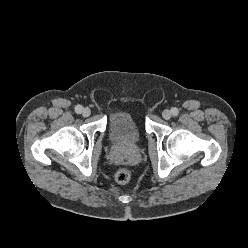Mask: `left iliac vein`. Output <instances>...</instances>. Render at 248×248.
<instances>
[{
    "label": "left iliac vein",
    "mask_w": 248,
    "mask_h": 248,
    "mask_svg": "<svg viewBox=\"0 0 248 248\" xmlns=\"http://www.w3.org/2000/svg\"><path fill=\"white\" fill-rule=\"evenodd\" d=\"M172 116V113L170 110L168 109H165L163 112H162V117L165 119V120H169Z\"/></svg>",
    "instance_id": "obj_1"
}]
</instances>
